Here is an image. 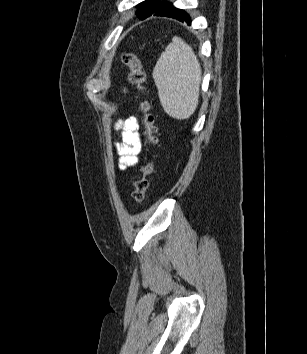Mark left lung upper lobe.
<instances>
[{"label":"left lung upper lobe","instance_id":"1","mask_svg":"<svg viewBox=\"0 0 307 354\" xmlns=\"http://www.w3.org/2000/svg\"><path fill=\"white\" fill-rule=\"evenodd\" d=\"M166 4V1L146 0L138 5L137 16L143 20L160 11Z\"/></svg>","mask_w":307,"mask_h":354}]
</instances>
